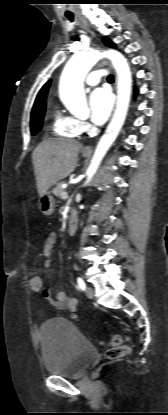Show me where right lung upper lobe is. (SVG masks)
<instances>
[{
	"label": "right lung upper lobe",
	"mask_w": 168,
	"mask_h": 415,
	"mask_svg": "<svg viewBox=\"0 0 168 415\" xmlns=\"http://www.w3.org/2000/svg\"><path fill=\"white\" fill-rule=\"evenodd\" d=\"M50 81H48L43 87L42 89L39 91L37 98L35 100L32 112L38 109H41L43 107H46V96H47V92L48 89L50 87Z\"/></svg>",
	"instance_id": "1"
}]
</instances>
